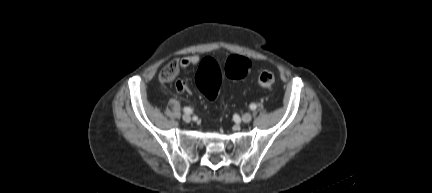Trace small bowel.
<instances>
[{
    "instance_id": "c3829d8e",
    "label": "small bowel",
    "mask_w": 432,
    "mask_h": 193,
    "mask_svg": "<svg viewBox=\"0 0 432 193\" xmlns=\"http://www.w3.org/2000/svg\"><path fill=\"white\" fill-rule=\"evenodd\" d=\"M199 61H200L199 55H197V54L187 55L180 60V66L182 68L192 67V66L197 65L199 63ZM176 86L179 90H183L185 87V84L183 81H178Z\"/></svg>"
}]
</instances>
